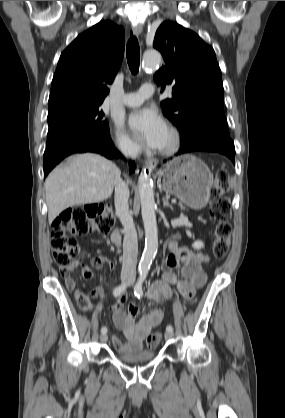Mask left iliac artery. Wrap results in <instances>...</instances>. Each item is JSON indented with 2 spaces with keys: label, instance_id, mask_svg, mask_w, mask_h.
Returning <instances> with one entry per match:
<instances>
[{
  "label": "left iliac artery",
  "instance_id": "left-iliac-artery-1",
  "mask_svg": "<svg viewBox=\"0 0 285 418\" xmlns=\"http://www.w3.org/2000/svg\"><path fill=\"white\" fill-rule=\"evenodd\" d=\"M147 275H148V269H144L140 272L138 281H137V283L135 285V288H134V294L137 298H140L143 295L142 286H143V283H144ZM166 331H173V327L171 325H168L166 327Z\"/></svg>",
  "mask_w": 285,
  "mask_h": 418
}]
</instances>
